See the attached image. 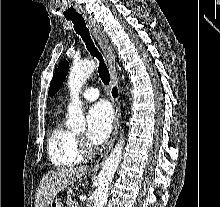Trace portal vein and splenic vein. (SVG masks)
<instances>
[{
  "label": "portal vein and splenic vein",
  "instance_id": "1",
  "mask_svg": "<svg viewBox=\"0 0 220 207\" xmlns=\"http://www.w3.org/2000/svg\"><path fill=\"white\" fill-rule=\"evenodd\" d=\"M78 201H73V207H78Z\"/></svg>",
  "mask_w": 220,
  "mask_h": 207
}]
</instances>
